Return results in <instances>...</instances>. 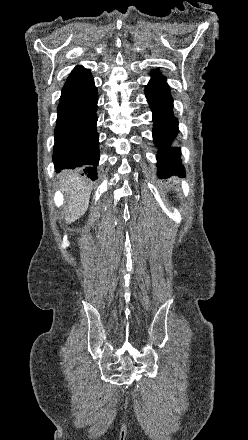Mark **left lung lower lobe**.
Instances as JSON below:
<instances>
[{
  "mask_svg": "<svg viewBox=\"0 0 248 440\" xmlns=\"http://www.w3.org/2000/svg\"><path fill=\"white\" fill-rule=\"evenodd\" d=\"M145 94L153 112V139L155 145L159 147L158 177L161 179L173 175L185 177L180 149L171 147L178 133V120L173 116V99L169 86L165 81L152 79L145 87Z\"/></svg>",
  "mask_w": 248,
  "mask_h": 440,
  "instance_id": "left-lung-lower-lobe-1",
  "label": "left lung lower lobe"
}]
</instances>
